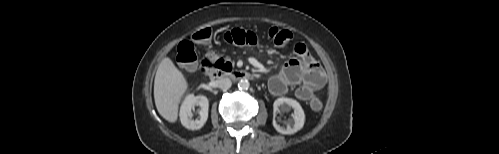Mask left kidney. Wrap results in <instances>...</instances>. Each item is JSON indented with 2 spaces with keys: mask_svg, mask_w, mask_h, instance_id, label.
Returning a JSON list of instances; mask_svg holds the SVG:
<instances>
[{
  "mask_svg": "<svg viewBox=\"0 0 499 154\" xmlns=\"http://www.w3.org/2000/svg\"><path fill=\"white\" fill-rule=\"evenodd\" d=\"M273 109V126L277 132L281 134H294L303 128L305 123V114L301 105L296 100L285 97L278 98L273 104ZM290 109H293V120L287 122L285 127L280 126L275 120L276 113L288 112Z\"/></svg>",
  "mask_w": 499,
  "mask_h": 154,
  "instance_id": "left-kidney-1",
  "label": "left kidney"
}]
</instances>
